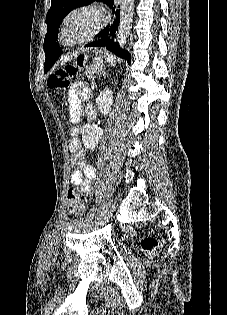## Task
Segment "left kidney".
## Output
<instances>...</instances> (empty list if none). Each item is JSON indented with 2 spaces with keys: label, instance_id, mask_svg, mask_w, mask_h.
<instances>
[{
  "label": "left kidney",
  "instance_id": "5707ae66",
  "mask_svg": "<svg viewBox=\"0 0 227 315\" xmlns=\"http://www.w3.org/2000/svg\"><path fill=\"white\" fill-rule=\"evenodd\" d=\"M113 104V92L106 88L100 92L96 98V105L103 115H107L111 111ZM103 135V130L93 124H86L82 130V141L87 149H94Z\"/></svg>",
  "mask_w": 227,
  "mask_h": 315
}]
</instances>
